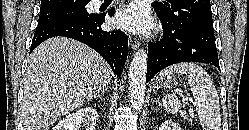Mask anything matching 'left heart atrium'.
I'll return each mask as SVG.
<instances>
[{"label": "left heart atrium", "instance_id": "1", "mask_svg": "<svg viewBox=\"0 0 249 130\" xmlns=\"http://www.w3.org/2000/svg\"><path fill=\"white\" fill-rule=\"evenodd\" d=\"M114 23L125 30L134 33H145L152 27L148 8L142 2H134L114 18Z\"/></svg>", "mask_w": 249, "mask_h": 130}]
</instances>
